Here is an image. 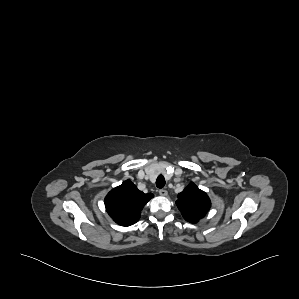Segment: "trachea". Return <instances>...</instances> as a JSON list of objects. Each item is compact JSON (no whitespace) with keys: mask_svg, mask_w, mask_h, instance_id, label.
<instances>
[{"mask_svg":"<svg viewBox=\"0 0 299 299\" xmlns=\"http://www.w3.org/2000/svg\"><path fill=\"white\" fill-rule=\"evenodd\" d=\"M165 178L163 175H159L156 180V186L158 188H163L165 186Z\"/></svg>","mask_w":299,"mask_h":299,"instance_id":"obj_1","label":"trachea"}]
</instances>
